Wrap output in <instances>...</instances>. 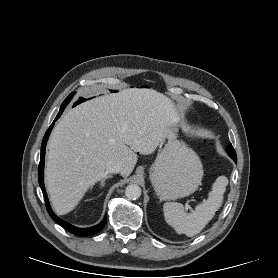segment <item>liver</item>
<instances>
[{
	"mask_svg": "<svg viewBox=\"0 0 278 278\" xmlns=\"http://www.w3.org/2000/svg\"><path fill=\"white\" fill-rule=\"evenodd\" d=\"M177 121L174 103L146 88L124 89L70 109L48 142L45 181L55 211H72L106 176L110 161L121 162V176H129L136 153L152 154Z\"/></svg>",
	"mask_w": 278,
	"mask_h": 278,
	"instance_id": "obj_1",
	"label": "liver"
}]
</instances>
